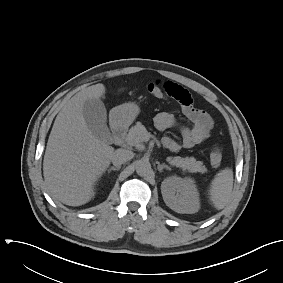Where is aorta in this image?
Wrapping results in <instances>:
<instances>
[{
    "label": "aorta",
    "instance_id": "obj_1",
    "mask_svg": "<svg viewBox=\"0 0 283 283\" xmlns=\"http://www.w3.org/2000/svg\"><path fill=\"white\" fill-rule=\"evenodd\" d=\"M151 170V164L146 160H139L136 163V172L140 176L147 175Z\"/></svg>",
    "mask_w": 283,
    "mask_h": 283
}]
</instances>
